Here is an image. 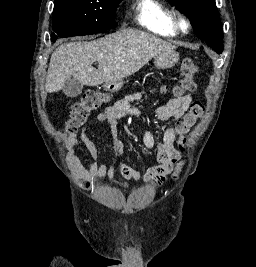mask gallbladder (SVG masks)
Instances as JSON below:
<instances>
[{"mask_svg":"<svg viewBox=\"0 0 256 267\" xmlns=\"http://www.w3.org/2000/svg\"><path fill=\"white\" fill-rule=\"evenodd\" d=\"M84 84H81L76 78H69L62 86V90L68 98H77L82 94Z\"/></svg>","mask_w":256,"mask_h":267,"instance_id":"1","label":"gallbladder"}]
</instances>
